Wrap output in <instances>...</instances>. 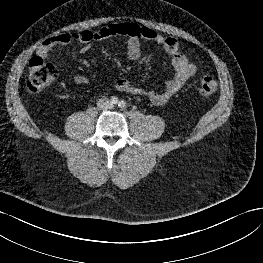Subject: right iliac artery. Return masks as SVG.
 Segmentation results:
<instances>
[{
	"label": "right iliac artery",
	"mask_w": 263,
	"mask_h": 263,
	"mask_svg": "<svg viewBox=\"0 0 263 263\" xmlns=\"http://www.w3.org/2000/svg\"><path fill=\"white\" fill-rule=\"evenodd\" d=\"M118 101H119L118 98L115 97V96H113V97L111 98V103H112V104H117Z\"/></svg>",
	"instance_id": "1"
}]
</instances>
